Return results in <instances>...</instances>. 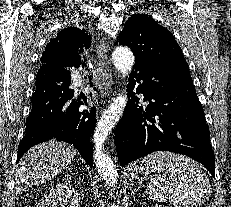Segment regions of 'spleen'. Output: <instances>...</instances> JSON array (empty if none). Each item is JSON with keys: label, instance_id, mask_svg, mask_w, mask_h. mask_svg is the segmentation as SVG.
Segmentation results:
<instances>
[{"label": "spleen", "instance_id": "spleen-1", "mask_svg": "<svg viewBox=\"0 0 231 207\" xmlns=\"http://www.w3.org/2000/svg\"><path fill=\"white\" fill-rule=\"evenodd\" d=\"M144 174L159 173L148 184L151 199H169L175 207H197L208 199L211 187L208 178L190 158L172 152H155L141 162Z\"/></svg>", "mask_w": 231, "mask_h": 207}]
</instances>
